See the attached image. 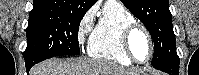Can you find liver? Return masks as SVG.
Wrapping results in <instances>:
<instances>
[{"instance_id":"6515ba94","label":"liver","mask_w":199,"mask_h":75,"mask_svg":"<svg viewBox=\"0 0 199 75\" xmlns=\"http://www.w3.org/2000/svg\"><path fill=\"white\" fill-rule=\"evenodd\" d=\"M140 72L127 69L104 60L71 58L65 61L53 58L35 65L29 75H138Z\"/></svg>"}]
</instances>
